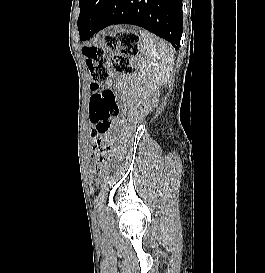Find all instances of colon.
<instances>
[{
	"instance_id": "obj_1",
	"label": "colon",
	"mask_w": 265,
	"mask_h": 273,
	"mask_svg": "<svg viewBox=\"0 0 265 273\" xmlns=\"http://www.w3.org/2000/svg\"><path fill=\"white\" fill-rule=\"evenodd\" d=\"M140 52L139 37L131 32L106 34L101 46H89L83 49L86 64L92 78L94 94L89 104V118L95 126L97 170L104 174L111 167L110 153L113 151V133L110 128L112 119L118 114V104L111 90H99V84L109 77L105 64L109 54H112V70L117 74H130L135 70L134 59Z\"/></svg>"
}]
</instances>
